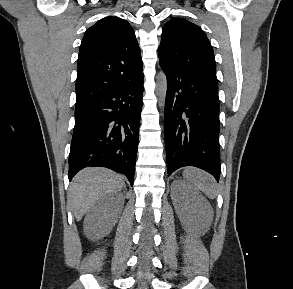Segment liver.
Instances as JSON below:
<instances>
[{
	"label": "liver",
	"mask_w": 293,
	"mask_h": 289,
	"mask_svg": "<svg viewBox=\"0 0 293 289\" xmlns=\"http://www.w3.org/2000/svg\"><path fill=\"white\" fill-rule=\"evenodd\" d=\"M124 177L106 168L81 170L69 187L68 202L77 221L102 197L121 190Z\"/></svg>",
	"instance_id": "6515ba94"
}]
</instances>
